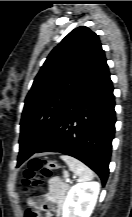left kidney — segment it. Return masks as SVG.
I'll return each mask as SVG.
<instances>
[{"label":"left kidney","instance_id":"obj_1","mask_svg":"<svg viewBox=\"0 0 132 217\" xmlns=\"http://www.w3.org/2000/svg\"><path fill=\"white\" fill-rule=\"evenodd\" d=\"M99 190L98 182L74 185L66 197L62 217H89L95 207Z\"/></svg>","mask_w":132,"mask_h":217}]
</instances>
